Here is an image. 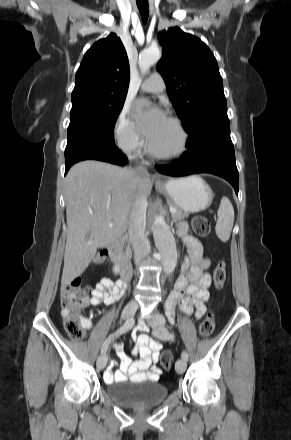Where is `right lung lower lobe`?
<instances>
[{"instance_id":"right-lung-lower-lobe-1","label":"right lung lower lobe","mask_w":291,"mask_h":440,"mask_svg":"<svg viewBox=\"0 0 291 440\" xmlns=\"http://www.w3.org/2000/svg\"><path fill=\"white\" fill-rule=\"evenodd\" d=\"M88 159L117 165L127 163L125 155L115 146L114 141L88 136L68 138L65 149V174L76 162Z\"/></svg>"}]
</instances>
